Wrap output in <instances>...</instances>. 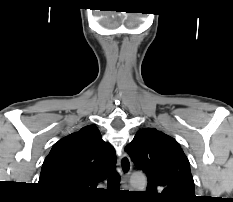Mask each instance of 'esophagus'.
<instances>
[{
    "mask_svg": "<svg viewBox=\"0 0 233 202\" xmlns=\"http://www.w3.org/2000/svg\"><path fill=\"white\" fill-rule=\"evenodd\" d=\"M118 163L122 182L125 184L132 170V162L130 157L126 153H123L119 157Z\"/></svg>",
    "mask_w": 233,
    "mask_h": 202,
    "instance_id": "34e87169",
    "label": "esophagus"
}]
</instances>
